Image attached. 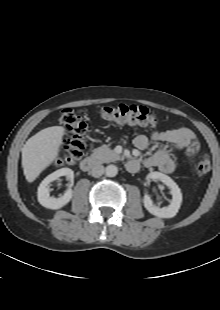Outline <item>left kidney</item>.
Here are the masks:
<instances>
[{"mask_svg":"<svg viewBox=\"0 0 220 310\" xmlns=\"http://www.w3.org/2000/svg\"><path fill=\"white\" fill-rule=\"evenodd\" d=\"M147 178L159 180L168 186L171 190L172 199L167 207L159 208L155 206L149 195L145 194L143 203L144 207L153 215L160 218H172L180 209L182 203V193L178 185L167 175L160 172H151Z\"/></svg>","mask_w":220,"mask_h":310,"instance_id":"left-kidney-1","label":"left kidney"}]
</instances>
